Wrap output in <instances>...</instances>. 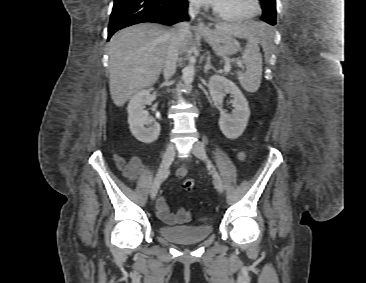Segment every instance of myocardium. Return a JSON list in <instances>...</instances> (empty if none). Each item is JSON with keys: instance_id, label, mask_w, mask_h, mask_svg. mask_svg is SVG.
I'll list each match as a JSON object with an SVG mask.
<instances>
[{"instance_id": "1", "label": "myocardium", "mask_w": 366, "mask_h": 283, "mask_svg": "<svg viewBox=\"0 0 366 283\" xmlns=\"http://www.w3.org/2000/svg\"><path fill=\"white\" fill-rule=\"evenodd\" d=\"M253 8L252 10L243 15H231L221 12L216 8L215 5H212V11L214 15L221 21L224 22H240V21H246L255 18L259 15L261 11V2L260 0H252Z\"/></svg>"}]
</instances>
